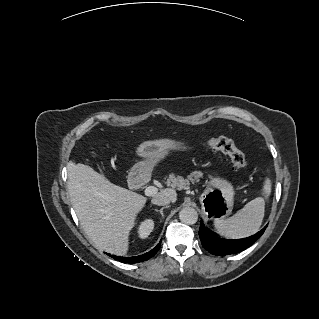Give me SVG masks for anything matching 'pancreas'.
<instances>
[{
    "label": "pancreas",
    "mask_w": 319,
    "mask_h": 319,
    "mask_svg": "<svg viewBox=\"0 0 319 319\" xmlns=\"http://www.w3.org/2000/svg\"><path fill=\"white\" fill-rule=\"evenodd\" d=\"M192 180H193V179H192ZM169 181H171V182H172L171 185L174 186V183L177 182V179H176L175 177H171V178L169 179Z\"/></svg>",
    "instance_id": "1"
}]
</instances>
